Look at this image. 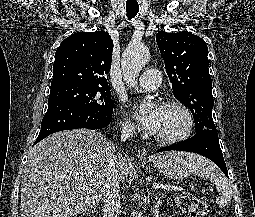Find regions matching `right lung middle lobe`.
Returning a JSON list of instances; mask_svg holds the SVG:
<instances>
[{
  "instance_id": "obj_1",
  "label": "right lung middle lobe",
  "mask_w": 255,
  "mask_h": 217,
  "mask_svg": "<svg viewBox=\"0 0 255 217\" xmlns=\"http://www.w3.org/2000/svg\"><path fill=\"white\" fill-rule=\"evenodd\" d=\"M65 101L102 114L113 113V100L108 87L82 84H62L52 86L48 104Z\"/></svg>"
}]
</instances>
